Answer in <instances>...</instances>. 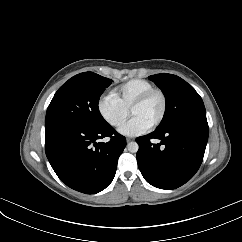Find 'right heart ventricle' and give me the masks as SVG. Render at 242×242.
<instances>
[{"instance_id":"right-heart-ventricle-1","label":"right heart ventricle","mask_w":242,"mask_h":242,"mask_svg":"<svg viewBox=\"0 0 242 242\" xmlns=\"http://www.w3.org/2000/svg\"><path fill=\"white\" fill-rule=\"evenodd\" d=\"M153 85L143 79H132L112 91V96L126 109L130 110L133 102L145 92L153 89Z\"/></svg>"}]
</instances>
